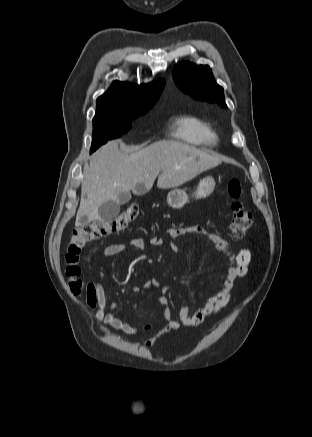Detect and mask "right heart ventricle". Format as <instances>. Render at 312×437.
I'll return each mask as SVG.
<instances>
[{
  "instance_id": "1",
  "label": "right heart ventricle",
  "mask_w": 312,
  "mask_h": 437,
  "mask_svg": "<svg viewBox=\"0 0 312 437\" xmlns=\"http://www.w3.org/2000/svg\"><path fill=\"white\" fill-rule=\"evenodd\" d=\"M173 131L176 137L193 144H213L217 140L213 125L196 115L186 114L175 119Z\"/></svg>"
}]
</instances>
